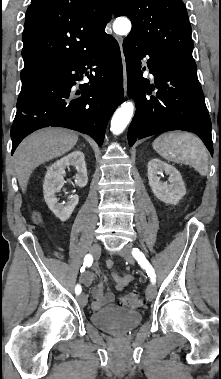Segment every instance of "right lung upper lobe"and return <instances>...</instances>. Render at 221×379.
Wrapping results in <instances>:
<instances>
[{
	"mask_svg": "<svg viewBox=\"0 0 221 379\" xmlns=\"http://www.w3.org/2000/svg\"><path fill=\"white\" fill-rule=\"evenodd\" d=\"M109 0H32L22 40L21 78L89 52L108 36Z\"/></svg>",
	"mask_w": 221,
	"mask_h": 379,
	"instance_id": "obj_1",
	"label": "right lung upper lobe"
}]
</instances>
